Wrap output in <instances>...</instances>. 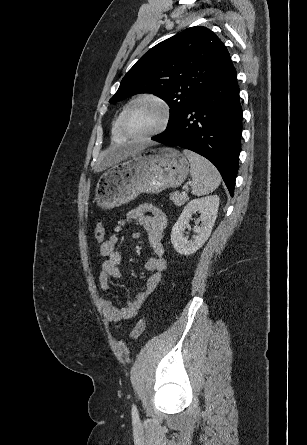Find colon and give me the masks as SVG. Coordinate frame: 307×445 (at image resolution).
Instances as JSON below:
<instances>
[{
    "label": "colon",
    "instance_id": "1",
    "mask_svg": "<svg viewBox=\"0 0 307 445\" xmlns=\"http://www.w3.org/2000/svg\"><path fill=\"white\" fill-rule=\"evenodd\" d=\"M94 237H95L96 242H98V243H102L104 241L105 227H104V223L101 219H99L97 221V224H96V227L94 230ZM144 329H145V320L143 318H140L130 333V339L136 340L144 332Z\"/></svg>",
    "mask_w": 307,
    "mask_h": 445
}]
</instances>
